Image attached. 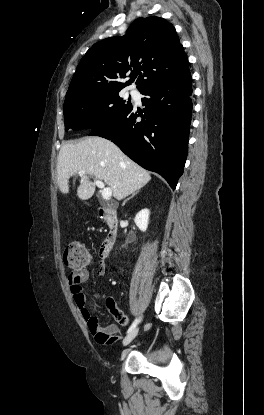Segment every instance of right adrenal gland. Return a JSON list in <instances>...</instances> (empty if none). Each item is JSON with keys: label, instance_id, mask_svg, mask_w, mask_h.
<instances>
[{"label": "right adrenal gland", "instance_id": "right-adrenal-gland-1", "mask_svg": "<svg viewBox=\"0 0 264 415\" xmlns=\"http://www.w3.org/2000/svg\"><path fill=\"white\" fill-rule=\"evenodd\" d=\"M139 191H136V192H134L128 199H126L125 201H124V203H123V205L128 201V200H130L131 198H133L137 193H138Z\"/></svg>", "mask_w": 264, "mask_h": 415}]
</instances>
